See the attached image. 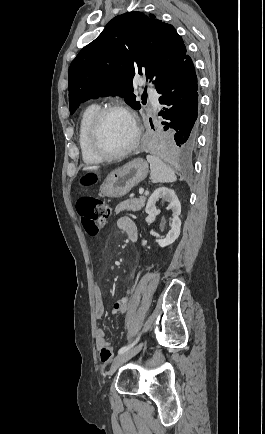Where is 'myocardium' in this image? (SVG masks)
<instances>
[{
  "instance_id": "1",
  "label": "myocardium",
  "mask_w": 265,
  "mask_h": 434,
  "mask_svg": "<svg viewBox=\"0 0 265 434\" xmlns=\"http://www.w3.org/2000/svg\"><path fill=\"white\" fill-rule=\"evenodd\" d=\"M114 112H121L127 115L133 122L135 128V138L132 145L124 151L114 153L108 150L102 140L103 124L108 115ZM141 140V130L135 120L133 114L124 106L121 105H107L101 107L96 113L91 127L90 142L95 152L103 158V160L114 161L123 159L131 155L139 146Z\"/></svg>"
}]
</instances>
